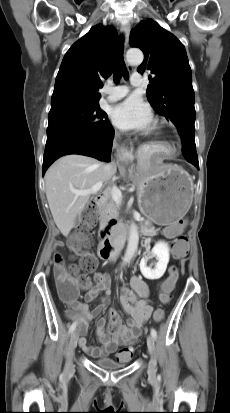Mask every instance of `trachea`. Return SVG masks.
I'll return each instance as SVG.
<instances>
[{
    "instance_id": "3493384b",
    "label": "trachea",
    "mask_w": 230,
    "mask_h": 413,
    "mask_svg": "<svg viewBox=\"0 0 230 413\" xmlns=\"http://www.w3.org/2000/svg\"><path fill=\"white\" fill-rule=\"evenodd\" d=\"M123 41L124 37L120 36L114 51L113 64H114V73L113 78L115 83H118L121 77L128 79V71L123 58Z\"/></svg>"
}]
</instances>
